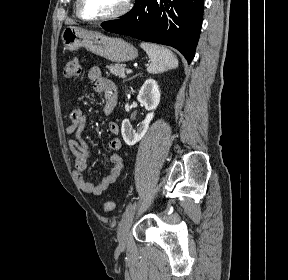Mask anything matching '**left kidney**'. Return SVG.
<instances>
[{"instance_id":"obj_1","label":"left kidney","mask_w":288,"mask_h":280,"mask_svg":"<svg viewBox=\"0 0 288 280\" xmlns=\"http://www.w3.org/2000/svg\"><path fill=\"white\" fill-rule=\"evenodd\" d=\"M160 90L154 79H148L141 87L137 100L145 107L149 113L146 118L139 124L137 130H133L128 119H124L121 126V133L125 143L129 146L135 145L146 134L149 124L154 117V110L160 102Z\"/></svg>"}]
</instances>
